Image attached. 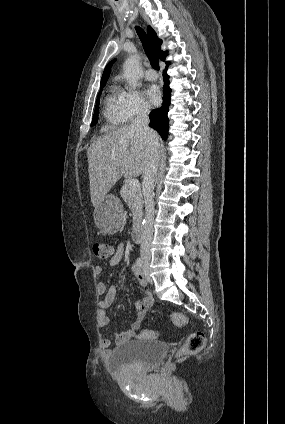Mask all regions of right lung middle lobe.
Instances as JSON below:
<instances>
[{
  "label": "right lung middle lobe",
  "instance_id": "right-lung-middle-lobe-1",
  "mask_svg": "<svg viewBox=\"0 0 285 424\" xmlns=\"http://www.w3.org/2000/svg\"><path fill=\"white\" fill-rule=\"evenodd\" d=\"M102 88H103V86H101V89ZM100 94H101V91L99 92L98 97H97L96 107H95V111H94V115H93L91 126L95 125L97 123V120H98L99 97H100Z\"/></svg>",
  "mask_w": 285,
  "mask_h": 424
}]
</instances>
